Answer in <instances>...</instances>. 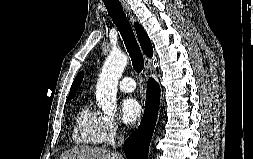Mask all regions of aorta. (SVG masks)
Masks as SVG:
<instances>
[{
	"label": "aorta",
	"mask_w": 253,
	"mask_h": 159,
	"mask_svg": "<svg viewBox=\"0 0 253 159\" xmlns=\"http://www.w3.org/2000/svg\"><path fill=\"white\" fill-rule=\"evenodd\" d=\"M128 58L120 51H112L103 64L96 84V100L99 108L106 114L117 110L118 81L127 65Z\"/></svg>",
	"instance_id": "1"
}]
</instances>
